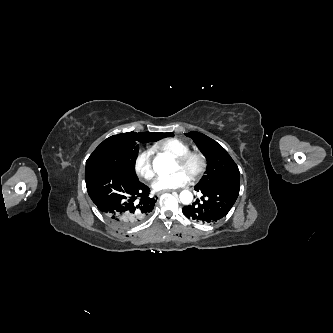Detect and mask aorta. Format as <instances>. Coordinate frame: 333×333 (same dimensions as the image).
Returning a JSON list of instances; mask_svg holds the SVG:
<instances>
[{
    "label": "aorta",
    "instance_id": "762f6f07",
    "mask_svg": "<svg viewBox=\"0 0 333 333\" xmlns=\"http://www.w3.org/2000/svg\"><path fill=\"white\" fill-rule=\"evenodd\" d=\"M153 169L158 175H168L176 170V162L173 158L165 155H159L153 160ZM193 200V194L184 190L180 193V201L183 204H190Z\"/></svg>",
    "mask_w": 333,
    "mask_h": 333
}]
</instances>
